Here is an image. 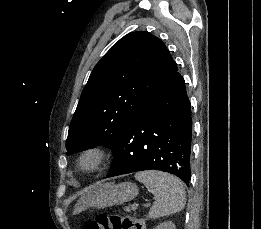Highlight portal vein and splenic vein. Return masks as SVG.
Wrapping results in <instances>:
<instances>
[{
  "mask_svg": "<svg viewBox=\"0 0 261 229\" xmlns=\"http://www.w3.org/2000/svg\"><path fill=\"white\" fill-rule=\"evenodd\" d=\"M133 207H134V208H140V207H141V204H140V203H134V204H133ZM144 207H149V205H144Z\"/></svg>",
  "mask_w": 261,
  "mask_h": 229,
  "instance_id": "1",
  "label": "portal vein and splenic vein"
}]
</instances>
